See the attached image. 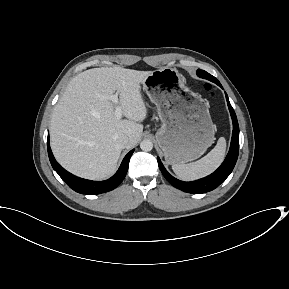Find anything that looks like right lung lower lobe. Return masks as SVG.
Instances as JSON below:
<instances>
[{"mask_svg": "<svg viewBox=\"0 0 289 289\" xmlns=\"http://www.w3.org/2000/svg\"><path fill=\"white\" fill-rule=\"evenodd\" d=\"M48 155L53 169L58 173L62 180L74 191L81 194H101L115 189L126 176L129 160L134 152L131 150L123 159L118 171L114 176L105 181H91L79 178L62 168L55 160L50 145H49V135L47 139Z\"/></svg>", "mask_w": 289, "mask_h": 289, "instance_id": "obj_1", "label": "right lung lower lobe"}]
</instances>
